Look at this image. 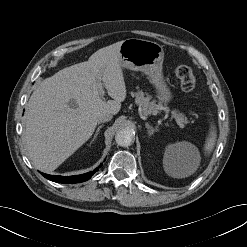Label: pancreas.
Returning a JSON list of instances; mask_svg holds the SVG:
<instances>
[{
  "mask_svg": "<svg viewBox=\"0 0 247 247\" xmlns=\"http://www.w3.org/2000/svg\"><path fill=\"white\" fill-rule=\"evenodd\" d=\"M131 96L135 97V103L142 108V111L145 115L155 114L159 110H166L167 109V107H164L160 103L156 104L155 100H151L152 97L150 95L145 96L144 92H142V91L132 92ZM173 113L176 115V117L182 123L187 122V120L184 118L183 114L177 113V111H174Z\"/></svg>",
  "mask_w": 247,
  "mask_h": 247,
  "instance_id": "pancreas-1",
  "label": "pancreas"
}]
</instances>
